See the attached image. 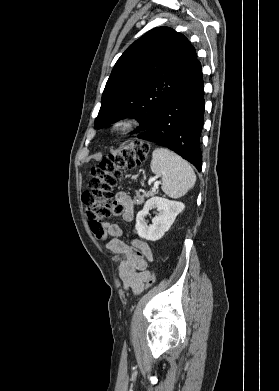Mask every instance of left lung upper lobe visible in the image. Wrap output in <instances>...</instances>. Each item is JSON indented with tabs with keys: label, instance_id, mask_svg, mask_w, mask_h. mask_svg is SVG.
<instances>
[{
	"label": "left lung upper lobe",
	"instance_id": "left-lung-upper-lobe-1",
	"mask_svg": "<svg viewBox=\"0 0 279 391\" xmlns=\"http://www.w3.org/2000/svg\"><path fill=\"white\" fill-rule=\"evenodd\" d=\"M200 62L187 38L156 27L130 45L116 62L102 94L95 128L136 118L147 130Z\"/></svg>",
	"mask_w": 279,
	"mask_h": 391
}]
</instances>
